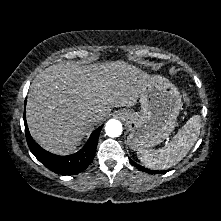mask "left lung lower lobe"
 I'll return each instance as SVG.
<instances>
[{
  "label": "left lung lower lobe",
  "instance_id": "left-lung-lower-lobe-1",
  "mask_svg": "<svg viewBox=\"0 0 221 221\" xmlns=\"http://www.w3.org/2000/svg\"><path fill=\"white\" fill-rule=\"evenodd\" d=\"M130 162L138 169L146 172V173H151V174H159V173H165L167 171H154V170H149L147 168H144L142 166H140L139 164L135 163L134 161H132L130 158H129Z\"/></svg>",
  "mask_w": 221,
  "mask_h": 221
}]
</instances>
